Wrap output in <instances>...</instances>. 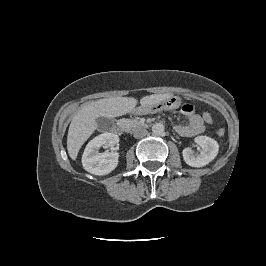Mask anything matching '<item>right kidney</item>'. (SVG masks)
<instances>
[{"mask_svg": "<svg viewBox=\"0 0 266 266\" xmlns=\"http://www.w3.org/2000/svg\"><path fill=\"white\" fill-rule=\"evenodd\" d=\"M119 142V137L113 133H103L92 139L86 146L82 165L86 171L94 175H106L112 172L118 165V152L100 153L101 146L113 147Z\"/></svg>", "mask_w": 266, "mask_h": 266, "instance_id": "right-kidney-1", "label": "right kidney"}]
</instances>
